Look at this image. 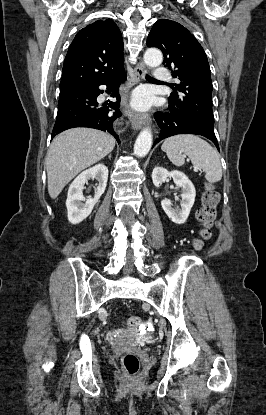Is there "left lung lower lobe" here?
Instances as JSON below:
<instances>
[{
  "instance_id": "obj_1",
  "label": "left lung lower lobe",
  "mask_w": 266,
  "mask_h": 415,
  "mask_svg": "<svg viewBox=\"0 0 266 415\" xmlns=\"http://www.w3.org/2000/svg\"><path fill=\"white\" fill-rule=\"evenodd\" d=\"M169 110V113L156 112L154 114V117L161 128L160 136L155 140L154 145L173 135L196 134L210 139L219 149L214 131L207 129L196 122L185 119L178 109L171 105H169Z\"/></svg>"
}]
</instances>
